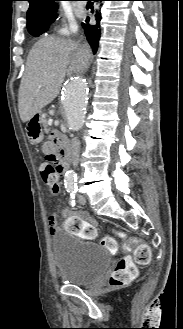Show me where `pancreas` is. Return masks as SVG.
I'll return each instance as SVG.
<instances>
[{
  "label": "pancreas",
  "instance_id": "1",
  "mask_svg": "<svg viewBox=\"0 0 183 329\" xmlns=\"http://www.w3.org/2000/svg\"><path fill=\"white\" fill-rule=\"evenodd\" d=\"M42 126L44 127V131L49 132L50 128L48 126V118L41 119Z\"/></svg>",
  "mask_w": 183,
  "mask_h": 329
}]
</instances>
